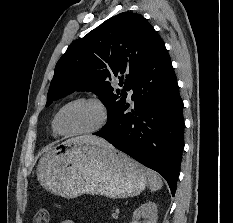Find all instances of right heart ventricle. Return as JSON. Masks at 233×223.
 Segmentation results:
<instances>
[{
    "label": "right heart ventricle",
    "mask_w": 233,
    "mask_h": 223,
    "mask_svg": "<svg viewBox=\"0 0 233 223\" xmlns=\"http://www.w3.org/2000/svg\"><path fill=\"white\" fill-rule=\"evenodd\" d=\"M52 134H53V136H55V137L57 136V134H56L54 131H52Z\"/></svg>",
    "instance_id": "obj_1"
}]
</instances>
